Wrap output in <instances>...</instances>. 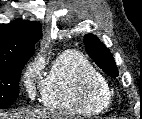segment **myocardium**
<instances>
[{
  "mask_svg": "<svg viewBox=\"0 0 142 119\" xmlns=\"http://www.w3.org/2000/svg\"><path fill=\"white\" fill-rule=\"evenodd\" d=\"M110 99H111L110 95H105V96L103 97V102H104V104H105L106 106L109 104Z\"/></svg>",
  "mask_w": 142,
  "mask_h": 119,
  "instance_id": "1",
  "label": "myocardium"
}]
</instances>
